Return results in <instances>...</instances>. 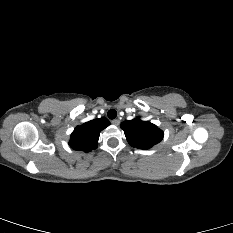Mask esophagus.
<instances>
[{
	"instance_id": "esophagus-1",
	"label": "esophagus",
	"mask_w": 233,
	"mask_h": 233,
	"mask_svg": "<svg viewBox=\"0 0 233 233\" xmlns=\"http://www.w3.org/2000/svg\"><path fill=\"white\" fill-rule=\"evenodd\" d=\"M111 123L113 124V125H119V123H120V120L119 119H114V120H112L111 121Z\"/></svg>"
}]
</instances>
